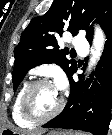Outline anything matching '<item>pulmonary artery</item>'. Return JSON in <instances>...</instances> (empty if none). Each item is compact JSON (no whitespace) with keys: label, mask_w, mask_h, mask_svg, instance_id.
Here are the masks:
<instances>
[{"label":"pulmonary artery","mask_w":112,"mask_h":135,"mask_svg":"<svg viewBox=\"0 0 112 135\" xmlns=\"http://www.w3.org/2000/svg\"><path fill=\"white\" fill-rule=\"evenodd\" d=\"M73 46L81 55H86L88 53L89 44L83 37H75L73 40Z\"/></svg>","instance_id":"e3ab8cb5"}]
</instances>
